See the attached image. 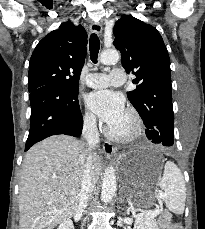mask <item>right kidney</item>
Instances as JSON below:
<instances>
[{
  "label": "right kidney",
  "mask_w": 205,
  "mask_h": 229,
  "mask_svg": "<svg viewBox=\"0 0 205 229\" xmlns=\"http://www.w3.org/2000/svg\"><path fill=\"white\" fill-rule=\"evenodd\" d=\"M57 229H74V225L71 220L65 219Z\"/></svg>",
  "instance_id": "right-kidney-1"
}]
</instances>
